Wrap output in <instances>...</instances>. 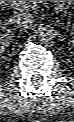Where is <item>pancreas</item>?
Here are the masks:
<instances>
[{
	"instance_id": "obj_1",
	"label": "pancreas",
	"mask_w": 74,
	"mask_h": 122,
	"mask_svg": "<svg viewBox=\"0 0 74 122\" xmlns=\"http://www.w3.org/2000/svg\"><path fill=\"white\" fill-rule=\"evenodd\" d=\"M41 1H9L13 8L35 9Z\"/></svg>"
}]
</instances>
